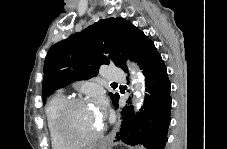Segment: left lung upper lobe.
<instances>
[{
  "label": "left lung upper lobe",
  "instance_id": "obj_1",
  "mask_svg": "<svg viewBox=\"0 0 227 149\" xmlns=\"http://www.w3.org/2000/svg\"><path fill=\"white\" fill-rule=\"evenodd\" d=\"M134 29L130 22L111 17L53 45L44 62L43 103L56 89L96 76L103 64L123 68ZM117 95L110 93L112 102Z\"/></svg>",
  "mask_w": 227,
  "mask_h": 149
}]
</instances>
